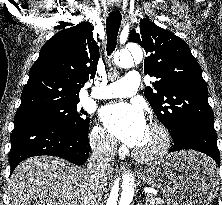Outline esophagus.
I'll return each mask as SVG.
<instances>
[{"instance_id": "obj_1", "label": "esophagus", "mask_w": 222, "mask_h": 205, "mask_svg": "<svg viewBox=\"0 0 222 205\" xmlns=\"http://www.w3.org/2000/svg\"><path fill=\"white\" fill-rule=\"evenodd\" d=\"M125 167H126V165H125L124 163H122V162H119V163H117V165H116V169H117L118 171L124 170Z\"/></svg>"}]
</instances>
